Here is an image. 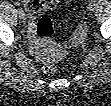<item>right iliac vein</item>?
<instances>
[{"instance_id": "right-iliac-vein-1", "label": "right iliac vein", "mask_w": 111, "mask_h": 106, "mask_svg": "<svg viewBox=\"0 0 111 106\" xmlns=\"http://www.w3.org/2000/svg\"><path fill=\"white\" fill-rule=\"evenodd\" d=\"M17 13H18V17H19L20 19H24V18H25V13H24L23 10H20V11H18Z\"/></svg>"}]
</instances>
